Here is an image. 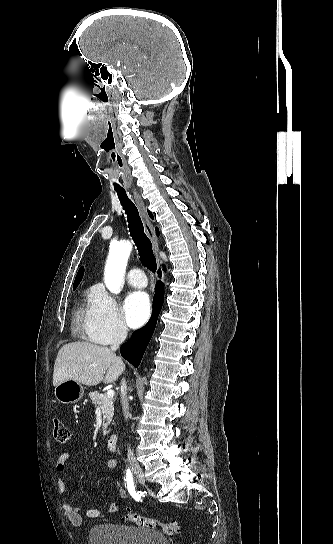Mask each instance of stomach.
<instances>
[{"label": "stomach", "mask_w": 333, "mask_h": 544, "mask_svg": "<svg viewBox=\"0 0 333 544\" xmlns=\"http://www.w3.org/2000/svg\"><path fill=\"white\" fill-rule=\"evenodd\" d=\"M84 394V387L75 380H65L55 386L54 395L58 402L62 404L77 403Z\"/></svg>", "instance_id": "0dacf381"}]
</instances>
